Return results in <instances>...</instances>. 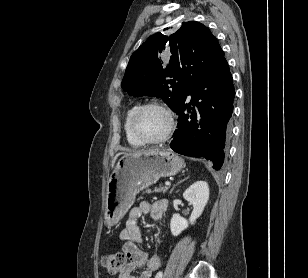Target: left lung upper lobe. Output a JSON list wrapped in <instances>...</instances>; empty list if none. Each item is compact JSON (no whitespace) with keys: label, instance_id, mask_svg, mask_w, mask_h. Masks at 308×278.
Masks as SVG:
<instances>
[{"label":"left lung upper lobe","instance_id":"5c2ea615","mask_svg":"<svg viewBox=\"0 0 308 278\" xmlns=\"http://www.w3.org/2000/svg\"><path fill=\"white\" fill-rule=\"evenodd\" d=\"M223 59V50L206 26L183 22L171 35H152L132 54L122 88L135 97L162 98L175 111L189 89Z\"/></svg>","mask_w":308,"mask_h":278}]
</instances>
